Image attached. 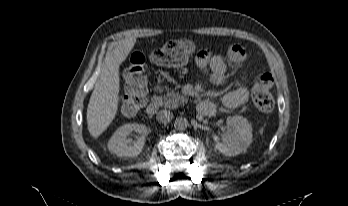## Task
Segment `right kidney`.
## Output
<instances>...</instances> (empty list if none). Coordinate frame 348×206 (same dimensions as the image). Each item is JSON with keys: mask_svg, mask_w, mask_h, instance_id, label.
<instances>
[{"mask_svg": "<svg viewBox=\"0 0 348 206\" xmlns=\"http://www.w3.org/2000/svg\"><path fill=\"white\" fill-rule=\"evenodd\" d=\"M133 131L140 134L137 141L130 138ZM148 134L149 130L145 125L125 124L114 132L108 142V149L119 157H136L142 152Z\"/></svg>", "mask_w": 348, "mask_h": 206, "instance_id": "1", "label": "right kidney"}]
</instances>
